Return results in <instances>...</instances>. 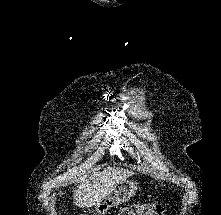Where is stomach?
I'll return each mask as SVG.
<instances>
[{"label":"stomach","instance_id":"obj_1","mask_svg":"<svg viewBox=\"0 0 221 215\" xmlns=\"http://www.w3.org/2000/svg\"><path fill=\"white\" fill-rule=\"evenodd\" d=\"M136 190V185L130 180H124L118 183L107 193L103 200L95 206L96 214L104 215L113 206L125 203L135 195Z\"/></svg>","mask_w":221,"mask_h":215}]
</instances>
